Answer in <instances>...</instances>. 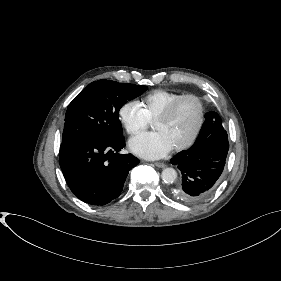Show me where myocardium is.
<instances>
[{
	"label": "myocardium",
	"mask_w": 281,
	"mask_h": 281,
	"mask_svg": "<svg viewBox=\"0 0 281 281\" xmlns=\"http://www.w3.org/2000/svg\"><path fill=\"white\" fill-rule=\"evenodd\" d=\"M188 99L195 100L198 104L199 107L198 122L192 135L185 142L173 147V150L177 152L183 151L191 147L200 135L205 120V106L201 97L195 94H184L179 98L175 99L174 101H172L171 103H169L154 119V122L167 119L180 103Z\"/></svg>",
	"instance_id": "1"
}]
</instances>
